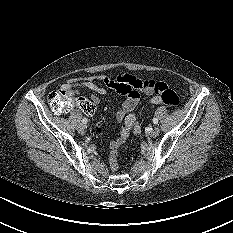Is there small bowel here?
Instances as JSON below:
<instances>
[{
    "label": "small bowel",
    "mask_w": 233,
    "mask_h": 233,
    "mask_svg": "<svg viewBox=\"0 0 233 233\" xmlns=\"http://www.w3.org/2000/svg\"><path fill=\"white\" fill-rule=\"evenodd\" d=\"M98 82L102 83L103 87L99 86L97 84ZM154 82L155 81L153 80L143 81V86L140 88L123 89L120 87L118 77L115 78L107 75H97L83 79L69 78L66 82L60 85V89L65 91L70 97H73L76 105L86 113H92L94 111L95 105L99 102L98 95H105L107 93V89H113L126 96V99L116 113V120L122 123L121 131L119 135L110 142L111 150L116 151L125 143L131 133L139 134L141 132V128L131 112L139 103L140 93H145L147 95L156 94L151 86ZM78 88H86L90 90L92 92L90 99L83 97L75 98L78 94ZM157 100L158 95L152 97L151 102L153 104H158ZM131 118L133 120L132 123L129 122Z\"/></svg>",
    "instance_id": "obj_1"
}]
</instances>
